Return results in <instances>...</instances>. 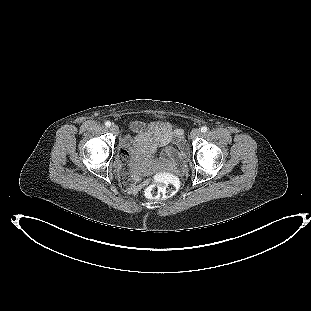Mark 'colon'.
Segmentation results:
<instances>
[{
    "label": "colon",
    "instance_id": "1",
    "mask_svg": "<svg viewBox=\"0 0 311 311\" xmlns=\"http://www.w3.org/2000/svg\"><path fill=\"white\" fill-rule=\"evenodd\" d=\"M121 158H129V152L122 150ZM120 181L125 186V178L120 172ZM178 190L177 179L169 173L158 172L153 175V184L146 188L145 195L150 199H166L176 194Z\"/></svg>",
    "mask_w": 311,
    "mask_h": 311
}]
</instances>
